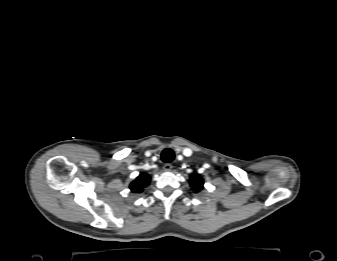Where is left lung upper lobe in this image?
<instances>
[{"mask_svg": "<svg viewBox=\"0 0 337 261\" xmlns=\"http://www.w3.org/2000/svg\"><path fill=\"white\" fill-rule=\"evenodd\" d=\"M189 184H190L191 188L193 189V191L195 193H198L203 188L204 182H203V179L201 178L200 175L193 174V175L190 176Z\"/></svg>", "mask_w": 337, "mask_h": 261, "instance_id": "obj_1", "label": "left lung upper lobe"}]
</instances>
